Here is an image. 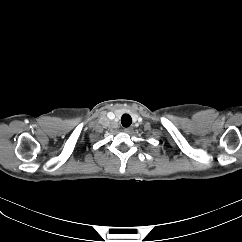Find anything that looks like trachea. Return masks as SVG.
<instances>
[{
  "label": "trachea",
  "instance_id": "trachea-1",
  "mask_svg": "<svg viewBox=\"0 0 242 242\" xmlns=\"http://www.w3.org/2000/svg\"><path fill=\"white\" fill-rule=\"evenodd\" d=\"M121 123L124 127H129L132 123L131 116L128 114H124L121 118Z\"/></svg>",
  "mask_w": 242,
  "mask_h": 242
}]
</instances>
